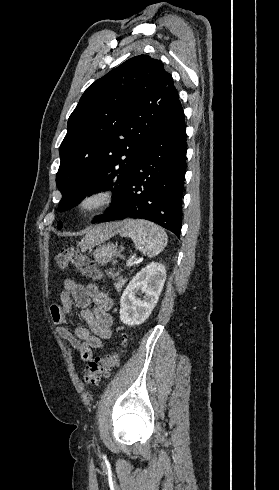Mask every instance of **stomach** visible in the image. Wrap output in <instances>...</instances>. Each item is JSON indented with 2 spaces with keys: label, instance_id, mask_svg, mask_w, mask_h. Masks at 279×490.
<instances>
[{
  "label": "stomach",
  "instance_id": "1",
  "mask_svg": "<svg viewBox=\"0 0 279 490\" xmlns=\"http://www.w3.org/2000/svg\"><path fill=\"white\" fill-rule=\"evenodd\" d=\"M98 244H102V242H98ZM117 254V246H114V244H102V246H98L93 252L95 262H98L101 266L112 262Z\"/></svg>",
  "mask_w": 279,
  "mask_h": 490
}]
</instances>
